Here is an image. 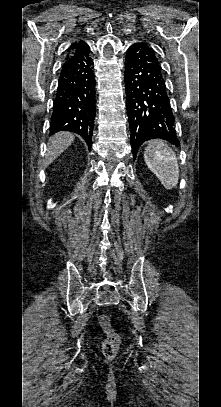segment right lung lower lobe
<instances>
[{
  "mask_svg": "<svg viewBox=\"0 0 221 407\" xmlns=\"http://www.w3.org/2000/svg\"><path fill=\"white\" fill-rule=\"evenodd\" d=\"M90 48L85 43L68 55L58 79L50 135L58 131L79 134L92 147L95 119V76Z\"/></svg>",
  "mask_w": 221,
  "mask_h": 407,
  "instance_id": "98d812e1",
  "label": "right lung lower lobe"
}]
</instances>
